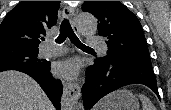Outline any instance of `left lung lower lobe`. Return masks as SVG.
Segmentation results:
<instances>
[{"instance_id":"left-lung-lower-lobe-1","label":"left lung lower lobe","mask_w":171,"mask_h":110,"mask_svg":"<svg viewBox=\"0 0 171 110\" xmlns=\"http://www.w3.org/2000/svg\"><path fill=\"white\" fill-rule=\"evenodd\" d=\"M86 76L87 82L82 88L86 110L92 108L99 99L108 93L130 84L146 85L159 97L152 64L117 59L109 60L106 63L95 60V64L87 68Z\"/></svg>"}]
</instances>
